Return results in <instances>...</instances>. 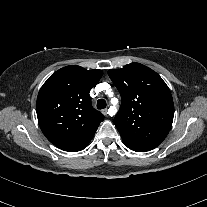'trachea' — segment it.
Listing matches in <instances>:
<instances>
[{"instance_id": "3493384b", "label": "trachea", "mask_w": 207, "mask_h": 207, "mask_svg": "<svg viewBox=\"0 0 207 207\" xmlns=\"http://www.w3.org/2000/svg\"><path fill=\"white\" fill-rule=\"evenodd\" d=\"M106 101L104 99H99L97 101V109H104L106 107Z\"/></svg>"}]
</instances>
